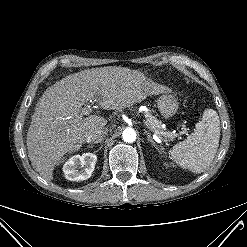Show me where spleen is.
<instances>
[{"label": "spleen", "instance_id": "spleen-1", "mask_svg": "<svg viewBox=\"0 0 247 247\" xmlns=\"http://www.w3.org/2000/svg\"><path fill=\"white\" fill-rule=\"evenodd\" d=\"M195 128L184 141L173 146L170 158L184 169L201 173L210 166L219 146L220 120L217 112L205 110Z\"/></svg>", "mask_w": 247, "mask_h": 247}]
</instances>
